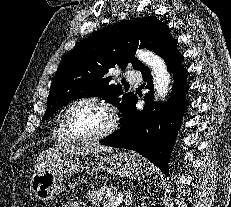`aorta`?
<instances>
[{
    "label": "aorta",
    "mask_w": 231,
    "mask_h": 207,
    "mask_svg": "<svg viewBox=\"0 0 231 207\" xmlns=\"http://www.w3.org/2000/svg\"><path fill=\"white\" fill-rule=\"evenodd\" d=\"M136 57L152 70L155 98L164 100L169 91L171 76L164 60L148 50H137Z\"/></svg>",
    "instance_id": "762f6f07"
}]
</instances>
